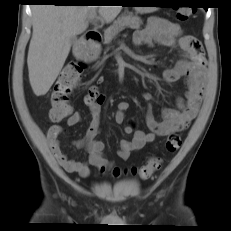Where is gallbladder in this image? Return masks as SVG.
I'll use <instances>...</instances> for the list:
<instances>
[{"instance_id":"1","label":"gallbladder","mask_w":231,"mask_h":231,"mask_svg":"<svg viewBox=\"0 0 231 231\" xmlns=\"http://www.w3.org/2000/svg\"><path fill=\"white\" fill-rule=\"evenodd\" d=\"M74 41H75V38H72V39H71V42H74Z\"/></svg>"}]
</instances>
